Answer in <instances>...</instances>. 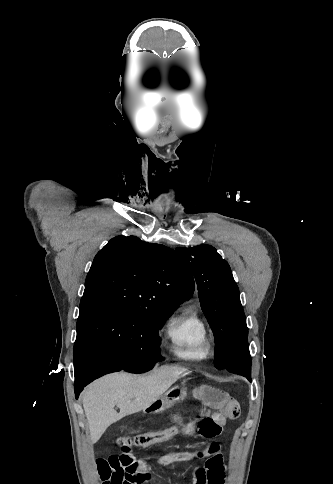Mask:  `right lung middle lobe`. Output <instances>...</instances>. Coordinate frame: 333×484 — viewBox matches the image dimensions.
Segmentation results:
<instances>
[{
    "instance_id": "dd1d6c3e",
    "label": "right lung middle lobe",
    "mask_w": 333,
    "mask_h": 484,
    "mask_svg": "<svg viewBox=\"0 0 333 484\" xmlns=\"http://www.w3.org/2000/svg\"><path fill=\"white\" fill-rule=\"evenodd\" d=\"M170 311H152L116 305L80 307L74 364L89 347L109 353L124 370L134 373L151 369L163 358L158 330Z\"/></svg>"
}]
</instances>
